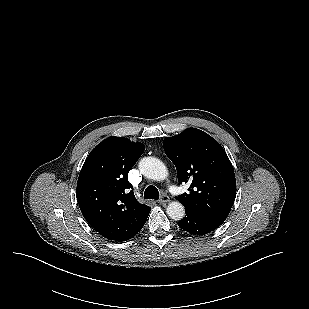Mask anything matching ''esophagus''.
Segmentation results:
<instances>
[{
    "mask_svg": "<svg viewBox=\"0 0 309 309\" xmlns=\"http://www.w3.org/2000/svg\"><path fill=\"white\" fill-rule=\"evenodd\" d=\"M170 201V198H169V196L168 195H162L161 197H160V199L158 200V203L159 204H165V203H167V202H169Z\"/></svg>",
    "mask_w": 309,
    "mask_h": 309,
    "instance_id": "34e87169",
    "label": "esophagus"
}]
</instances>
